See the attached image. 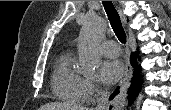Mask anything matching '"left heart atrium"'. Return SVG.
<instances>
[{"label":"left heart atrium","instance_id":"left-heart-atrium-1","mask_svg":"<svg viewBox=\"0 0 171 110\" xmlns=\"http://www.w3.org/2000/svg\"><path fill=\"white\" fill-rule=\"evenodd\" d=\"M124 74V65L119 60L104 61L99 70V77L105 84L117 82Z\"/></svg>","mask_w":171,"mask_h":110}]
</instances>
